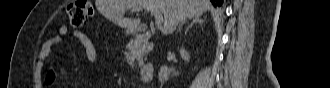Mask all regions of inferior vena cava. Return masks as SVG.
Listing matches in <instances>:
<instances>
[{"label": "inferior vena cava", "instance_id": "602c4592", "mask_svg": "<svg viewBox=\"0 0 330 88\" xmlns=\"http://www.w3.org/2000/svg\"><path fill=\"white\" fill-rule=\"evenodd\" d=\"M185 17L183 18V20L185 21ZM181 24H183V21L181 22ZM181 30V25H180V23H179V31Z\"/></svg>", "mask_w": 330, "mask_h": 88}]
</instances>
